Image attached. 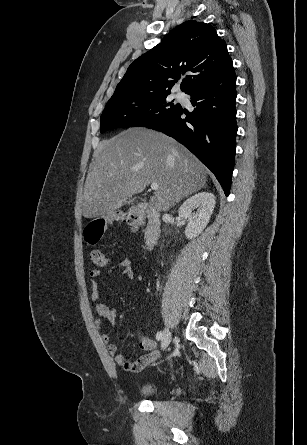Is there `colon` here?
Masks as SVG:
<instances>
[{
	"mask_svg": "<svg viewBox=\"0 0 307 445\" xmlns=\"http://www.w3.org/2000/svg\"><path fill=\"white\" fill-rule=\"evenodd\" d=\"M115 221L124 222L133 231H137L143 225V217L134 211L118 212L107 217L95 218L84 229L85 242L91 246L97 244L103 237L107 225ZM90 258L97 270L106 267L109 263L107 254L101 249L92 250ZM141 343L148 344L149 338H142Z\"/></svg>",
	"mask_w": 307,
	"mask_h": 445,
	"instance_id": "obj_1",
	"label": "colon"
}]
</instances>
